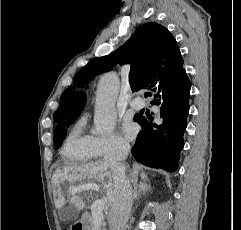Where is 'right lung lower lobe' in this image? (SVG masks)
Segmentation results:
<instances>
[{"label": "right lung lower lobe", "mask_w": 241, "mask_h": 230, "mask_svg": "<svg viewBox=\"0 0 241 230\" xmlns=\"http://www.w3.org/2000/svg\"><path fill=\"white\" fill-rule=\"evenodd\" d=\"M191 82L181 66L164 77L152 90L154 104H160L159 118L140 116L135 119L142 127L132 155L149 167L174 172L184 146L183 133L189 113Z\"/></svg>", "instance_id": "1"}]
</instances>
